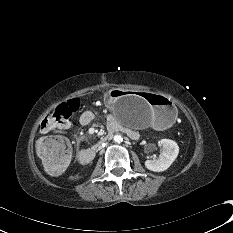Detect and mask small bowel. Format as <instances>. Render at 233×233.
I'll use <instances>...</instances> for the list:
<instances>
[{"instance_id":"c3829d8e","label":"small bowel","mask_w":233,"mask_h":233,"mask_svg":"<svg viewBox=\"0 0 233 233\" xmlns=\"http://www.w3.org/2000/svg\"><path fill=\"white\" fill-rule=\"evenodd\" d=\"M98 115L97 111L94 110H85L81 113L80 117H79V122L81 125H88L89 123H91L95 117ZM107 121L109 122V126L112 124H116V121L113 119V117L111 115H106L105 116ZM68 128V127H66ZM134 132V131H132Z\"/></svg>"}]
</instances>
